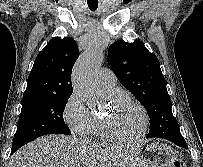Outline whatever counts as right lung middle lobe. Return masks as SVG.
I'll return each instance as SVG.
<instances>
[{"label":"right lung middle lobe","mask_w":203,"mask_h":167,"mask_svg":"<svg viewBox=\"0 0 203 167\" xmlns=\"http://www.w3.org/2000/svg\"><path fill=\"white\" fill-rule=\"evenodd\" d=\"M68 96H52L22 101L17 132L12 153L24 144L46 134L70 135L65 125L63 111Z\"/></svg>","instance_id":"dd1d6c3e"}]
</instances>
